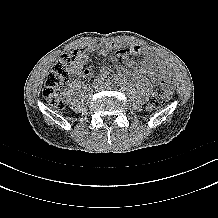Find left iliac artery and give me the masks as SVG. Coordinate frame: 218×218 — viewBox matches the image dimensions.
<instances>
[{
	"label": "left iliac artery",
	"instance_id": "obj_1",
	"mask_svg": "<svg viewBox=\"0 0 218 218\" xmlns=\"http://www.w3.org/2000/svg\"><path fill=\"white\" fill-rule=\"evenodd\" d=\"M106 83H107V84H112V81H111L110 79H107V80H106Z\"/></svg>",
	"mask_w": 218,
	"mask_h": 218
}]
</instances>
